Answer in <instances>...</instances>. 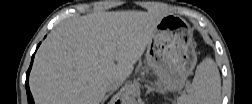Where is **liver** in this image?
<instances>
[{
  "label": "liver",
  "instance_id": "liver-1",
  "mask_svg": "<svg viewBox=\"0 0 252 104\" xmlns=\"http://www.w3.org/2000/svg\"><path fill=\"white\" fill-rule=\"evenodd\" d=\"M164 15L96 12L65 22L38 49L30 90L38 104H100L110 80L124 82Z\"/></svg>",
  "mask_w": 252,
  "mask_h": 104
}]
</instances>
